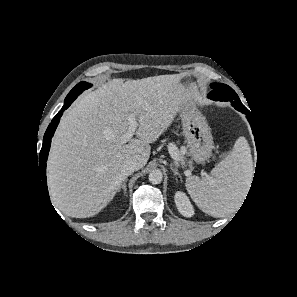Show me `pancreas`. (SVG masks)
Returning a JSON list of instances; mask_svg holds the SVG:
<instances>
[{
	"instance_id": "cf45deb5",
	"label": "pancreas",
	"mask_w": 297,
	"mask_h": 297,
	"mask_svg": "<svg viewBox=\"0 0 297 297\" xmlns=\"http://www.w3.org/2000/svg\"><path fill=\"white\" fill-rule=\"evenodd\" d=\"M172 152L174 153L175 157H178L181 161L183 159L182 151L179 150L177 147L172 148Z\"/></svg>"
}]
</instances>
